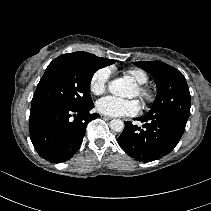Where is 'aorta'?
Segmentation results:
<instances>
[{
  "label": "aorta",
  "mask_w": 211,
  "mask_h": 211,
  "mask_svg": "<svg viewBox=\"0 0 211 211\" xmlns=\"http://www.w3.org/2000/svg\"><path fill=\"white\" fill-rule=\"evenodd\" d=\"M131 82L126 78H118L111 81L108 85V90L116 96L124 97L130 89ZM110 128L113 131L121 132L124 129V122L120 119H113L110 121Z\"/></svg>",
  "instance_id": "762f6f07"
}]
</instances>
